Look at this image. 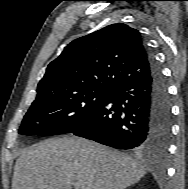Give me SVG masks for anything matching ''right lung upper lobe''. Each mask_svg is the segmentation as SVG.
I'll return each instance as SVG.
<instances>
[{"instance_id":"1","label":"right lung upper lobe","mask_w":188,"mask_h":189,"mask_svg":"<svg viewBox=\"0 0 188 189\" xmlns=\"http://www.w3.org/2000/svg\"><path fill=\"white\" fill-rule=\"evenodd\" d=\"M150 71L148 50L138 30L112 24L72 41L52 61L37 96L90 88H114Z\"/></svg>"}]
</instances>
